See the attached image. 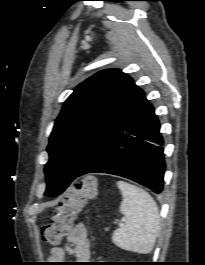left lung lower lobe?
<instances>
[{
    "label": "left lung lower lobe",
    "instance_id": "left-lung-lower-lobe-1",
    "mask_svg": "<svg viewBox=\"0 0 205 265\" xmlns=\"http://www.w3.org/2000/svg\"><path fill=\"white\" fill-rule=\"evenodd\" d=\"M162 145L154 108L143 97L122 127L100 147L76 177L94 172L109 173L160 193L165 171Z\"/></svg>",
    "mask_w": 205,
    "mask_h": 265
}]
</instances>
